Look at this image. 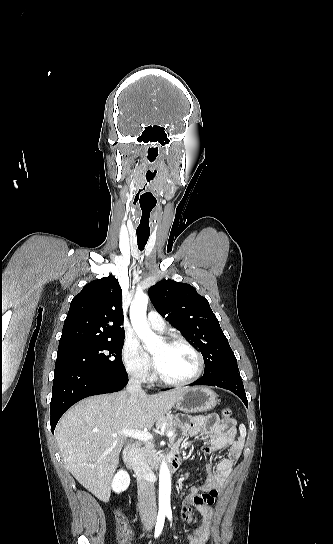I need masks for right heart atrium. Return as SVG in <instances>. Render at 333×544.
<instances>
[{
    "mask_svg": "<svg viewBox=\"0 0 333 544\" xmlns=\"http://www.w3.org/2000/svg\"><path fill=\"white\" fill-rule=\"evenodd\" d=\"M122 359L127 373L134 379L145 382L149 379L151 365L146 353L142 350L137 340L126 339Z\"/></svg>",
    "mask_w": 333,
    "mask_h": 544,
    "instance_id": "d8ad5b80",
    "label": "right heart atrium"
}]
</instances>
